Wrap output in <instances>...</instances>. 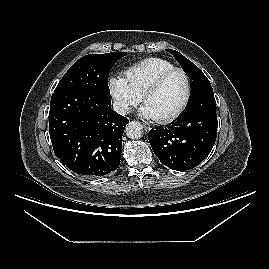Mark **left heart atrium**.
I'll return each instance as SVG.
<instances>
[{
	"label": "left heart atrium",
	"instance_id": "left-heart-atrium-1",
	"mask_svg": "<svg viewBox=\"0 0 269 269\" xmlns=\"http://www.w3.org/2000/svg\"><path fill=\"white\" fill-rule=\"evenodd\" d=\"M140 115L146 119H155L152 112L149 110V108L146 105H143L140 108Z\"/></svg>",
	"mask_w": 269,
	"mask_h": 269
}]
</instances>
